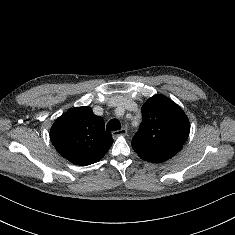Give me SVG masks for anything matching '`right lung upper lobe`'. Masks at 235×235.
Listing matches in <instances>:
<instances>
[{
	"mask_svg": "<svg viewBox=\"0 0 235 235\" xmlns=\"http://www.w3.org/2000/svg\"><path fill=\"white\" fill-rule=\"evenodd\" d=\"M50 139L62 157L81 166L101 160L113 143L104 120L90 107H76L57 118Z\"/></svg>",
	"mask_w": 235,
	"mask_h": 235,
	"instance_id": "obj_1",
	"label": "right lung upper lobe"
}]
</instances>
